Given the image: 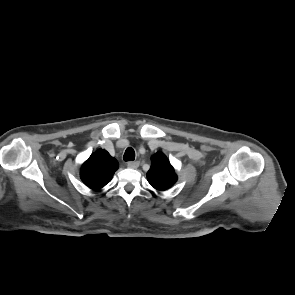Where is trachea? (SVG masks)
Segmentation results:
<instances>
[{
  "label": "trachea",
  "mask_w": 295,
  "mask_h": 295,
  "mask_svg": "<svg viewBox=\"0 0 295 295\" xmlns=\"http://www.w3.org/2000/svg\"><path fill=\"white\" fill-rule=\"evenodd\" d=\"M124 161H133L135 159V151L133 148L129 147L126 149L124 156H123Z\"/></svg>",
  "instance_id": "trachea-1"
}]
</instances>
